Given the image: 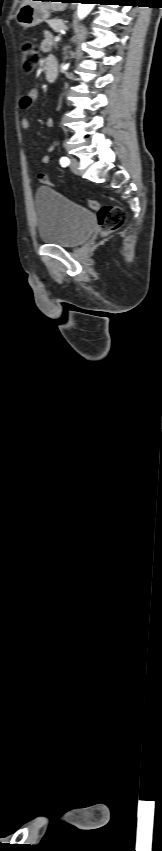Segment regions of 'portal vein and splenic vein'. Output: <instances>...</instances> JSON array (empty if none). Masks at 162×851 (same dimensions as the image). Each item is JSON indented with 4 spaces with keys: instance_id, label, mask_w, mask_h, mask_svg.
I'll return each mask as SVG.
<instances>
[{
    "instance_id": "1",
    "label": "portal vein and splenic vein",
    "mask_w": 162,
    "mask_h": 851,
    "mask_svg": "<svg viewBox=\"0 0 162 851\" xmlns=\"http://www.w3.org/2000/svg\"><path fill=\"white\" fill-rule=\"evenodd\" d=\"M60 39H61V38H60V36L58 35V36H56V37H55V39H54V40H55L56 42H58V41H60Z\"/></svg>"
}]
</instances>
